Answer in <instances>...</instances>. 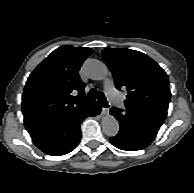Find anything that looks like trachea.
Returning <instances> with one entry per match:
<instances>
[{"mask_svg":"<svg viewBox=\"0 0 194 193\" xmlns=\"http://www.w3.org/2000/svg\"><path fill=\"white\" fill-rule=\"evenodd\" d=\"M96 98H98V101L103 107H108V103L104 94L100 91H97L95 88L91 89L88 95L85 97V99L89 101L95 100Z\"/></svg>","mask_w":194,"mask_h":193,"instance_id":"trachea-1","label":"trachea"}]
</instances>
